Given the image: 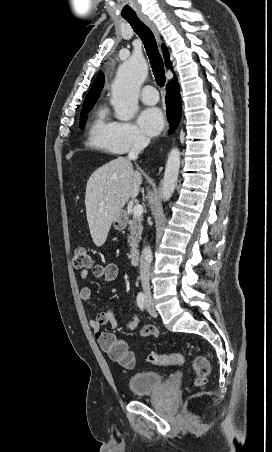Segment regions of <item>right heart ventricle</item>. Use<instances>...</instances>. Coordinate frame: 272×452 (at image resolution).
<instances>
[{
  "instance_id": "1",
  "label": "right heart ventricle",
  "mask_w": 272,
  "mask_h": 452,
  "mask_svg": "<svg viewBox=\"0 0 272 452\" xmlns=\"http://www.w3.org/2000/svg\"><path fill=\"white\" fill-rule=\"evenodd\" d=\"M115 123L116 122L110 120L105 108H99L88 129V145L104 151L119 153L112 143V134Z\"/></svg>"
}]
</instances>
